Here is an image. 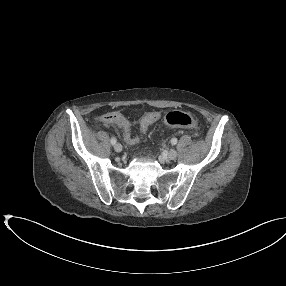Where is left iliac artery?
<instances>
[{"label":"left iliac artery","instance_id":"1","mask_svg":"<svg viewBox=\"0 0 286 286\" xmlns=\"http://www.w3.org/2000/svg\"><path fill=\"white\" fill-rule=\"evenodd\" d=\"M171 143H172L173 145L177 144V139H176V138H172V139H171Z\"/></svg>","mask_w":286,"mask_h":286}]
</instances>
